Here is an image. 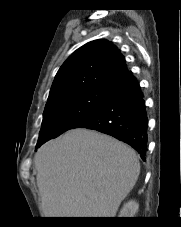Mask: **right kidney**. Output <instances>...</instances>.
<instances>
[{
  "instance_id": "1",
  "label": "right kidney",
  "mask_w": 181,
  "mask_h": 227,
  "mask_svg": "<svg viewBox=\"0 0 181 227\" xmlns=\"http://www.w3.org/2000/svg\"><path fill=\"white\" fill-rule=\"evenodd\" d=\"M138 208L139 204L135 200H130L123 205L119 217H134Z\"/></svg>"
}]
</instances>
